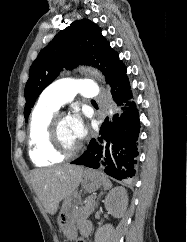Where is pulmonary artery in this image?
<instances>
[{"instance_id": "1", "label": "pulmonary artery", "mask_w": 187, "mask_h": 242, "mask_svg": "<svg viewBox=\"0 0 187 242\" xmlns=\"http://www.w3.org/2000/svg\"><path fill=\"white\" fill-rule=\"evenodd\" d=\"M77 94L95 98L98 95V87L94 81L88 79H61L49 85L41 94L39 101L57 110Z\"/></svg>"}]
</instances>
